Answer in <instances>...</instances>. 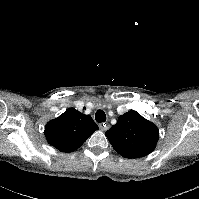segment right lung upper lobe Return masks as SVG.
<instances>
[{
    "label": "right lung upper lobe",
    "instance_id": "1",
    "mask_svg": "<svg viewBox=\"0 0 199 199\" xmlns=\"http://www.w3.org/2000/svg\"><path fill=\"white\" fill-rule=\"evenodd\" d=\"M98 129L90 115L69 108L47 123L45 136L59 151L71 152L78 149Z\"/></svg>",
    "mask_w": 199,
    "mask_h": 199
}]
</instances>
